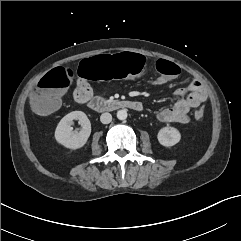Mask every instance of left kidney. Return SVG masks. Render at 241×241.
I'll return each mask as SVG.
<instances>
[{"label": "left kidney", "instance_id": "obj_1", "mask_svg": "<svg viewBox=\"0 0 241 241\" xmlns=\"http://www.w3.org/2000/svg\"><path fill=\"white\" fill-rule=\"evenodd\" d=\"M157 139L161 145L171 147L180 141L181 134L174 127H163L159 130Z\"/></svg>", "mask_w": 241, "mask_h": 241}]
</instances>
